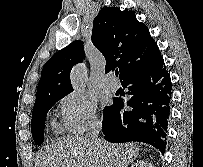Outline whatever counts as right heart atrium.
Segmentation results:
<instances>
[{
  "label": "right heart atrium",
  "instance_id": "right-heart-atrium-1",
  "mask_svg": "<svg viewBox=\"0 0 203 167\" xmlns=\"http://www.w3.org/2000/svg\"><path fill=\"white\" fill-rule=\"evenodd\" d=\"M63 128L71 134H82L100 124L97 103L83 92H70L58 103Z\"/></svg>",
  "mask_w": 203,
  "mask_h": 167
}]
</instances>
